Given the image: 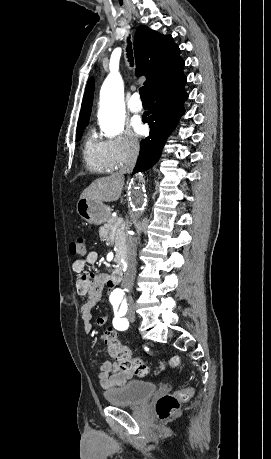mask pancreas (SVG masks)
I'll use <instances>...</instances> for the list:
<instances>
[{"instance_id":"1","label":"pancreas","mask_w":271,"mask_h":459,"mask_svg":"<svg viewBox=\"0 0 271 459\" xmlns=\"http://www.w3.org/2000/svg\"><path fill=\"white\" fill-rule=\"evenodd\" d=\"M123 229H126V224L123 222V218H110L108 224L100 228V235L107 237L111 244L116 243L117 247L121 249L125 245V237L127 233H124Z\"/></svg>"}]
</instances>
